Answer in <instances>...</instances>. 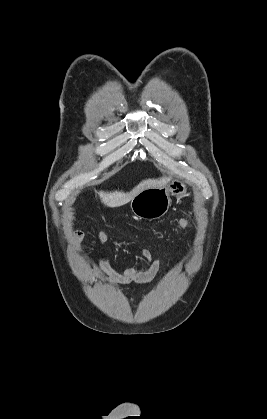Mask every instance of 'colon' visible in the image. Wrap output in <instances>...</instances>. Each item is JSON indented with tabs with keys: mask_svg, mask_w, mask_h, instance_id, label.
Instances as JSON below:
<instances>
[{
	"mask_svg": "<svg viewBox=\"0 0 267 419\" xmlns=\"http://www.w3.org/2000/svg\"><path fill=\"white\" fill-rule=\"evenodd\" d=\"M190 225H191V221L189 219H182L181 222H180V226L183 229H186V228L190 227Z\"/></svg>",
	"mask_w": 267,
	"mask_h": 419,
	"instance_id": "obj_1",
	"label": "colon"
}]
</instances>
